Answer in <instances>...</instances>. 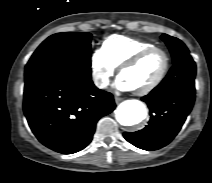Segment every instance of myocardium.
<instances>
[{
	"label": "myocardium",
	"instance_id": "myocardium-1",
	"mask_svg": "<svg viewBox=\"0 0 212 183\" xmlns=\"http://www.w3.org/2000/svg\"><path fill=\"white\" fill-rule=\"evenodd\" d=\"M157 51L162 52L164 55L163 68H162L160 74L157 76V78L153 82H151L150 84L146 85L143 88L132 89L133 92L137 95H146V94L152 92L153 90H155L163 82V80L165 79V77L169 71V68H170V55H169L168 51L165 48L160 47V46L149 47L147 49L140 51L139 53H137L136 55H134L133 57H131L130 59H128L127 61H125L123 64L120 65L119 76H121V74L125 70L136 66L143 59H145L148 55L152 54L153 52H157Z\"/></svg>",
	"mask_w": 212,
	"mask_h": 183
}]
</instances>
